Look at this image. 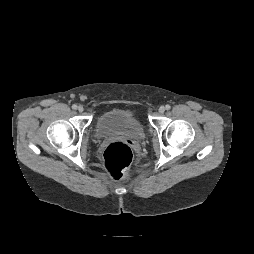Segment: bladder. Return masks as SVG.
<instances>
[{
	"label": "bladder",
	"mask_w": 254,
	"mask_h": 254,
	"mask_svg": "<svg viewBox=\"0 0 254 254\" xmlns=\"http://www.w3.org/2000/svg\"><path fill=\"white\" fill-rule=\"evenodd\" d=\"M95 135L100 139L123 136L134 140L144 138V127L129 110L112 108L102 112L95 123Z\"/></svg>",
	"instance_id": "31cf9c89"
}]
</instances>
